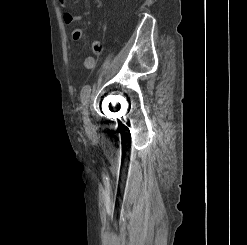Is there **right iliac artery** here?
I'll return each instance as SVG.
<instances>
[{
    "label": "right iliac artery",
    "mask_w": 247,
    "mask_h": 245,
    "mask_svg": "<svg viewBox=\"0 0 247 245\" xmlns=\"http://www.w3.org/2000/svg\"><path fill=\"white\" fill-rule=\"evenodd\" d=\"M90 92H91V87L89 85H85L83 88H82V91H81V101H82V104L85 105L86 102H87V99L90 95Z\"/></svg>",
    "instance_id": "right-iliac-artery-1"
}]
</instances>
